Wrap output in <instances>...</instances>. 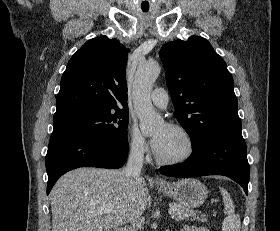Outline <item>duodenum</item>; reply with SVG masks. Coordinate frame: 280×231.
Wrapping results in <instances>:
<instances>
[{
    "mask_svg": "<svg viewBox=\"0 0 280 231\" xmlns=\"http://www.w3.org/2000/svg\"><path fill=\"white\" fill-rule=\"evenodd\" d=\"M117 231H123V229L122 228H118Z\"/></svg>",
    "mask_w": 280,
    "mask_h": 231,
    "instance_id": "obj_1",
    "label": "duodenum"
}]
</instances>
